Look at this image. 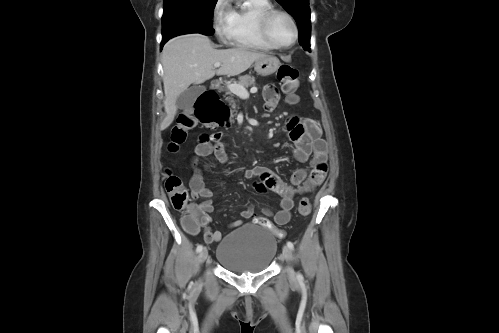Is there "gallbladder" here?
<instances>
[{
  "instance_id": "bac80fb5",
  "label": "gallbladder",
  "mask_w": 499,
  "mask_h": 333,
  "mask_svg": "<svg viewBox=\"0 0 499 333\" xmlns=\"http://www.w3.org/2000/svg\"><path fill=\"white\" fill-rule=\"evenodd\" d=\"M205 89L206 88L204 86H192L186 89L178 96L176 106L179 109H191L198 96L201 95Z\"/></svg>"
}]
</instances>
